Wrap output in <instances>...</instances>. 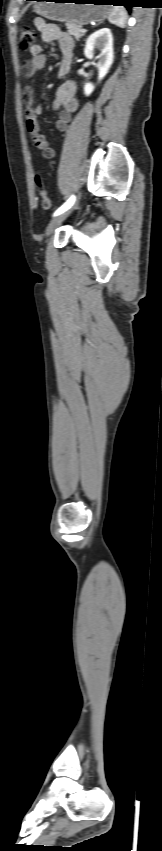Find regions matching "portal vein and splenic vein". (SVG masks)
<instances>
[{
  "instance_id": "portal-vein-and-splenic-vein-1",
  "label": "portal vein and splenic vein",
  "mask_w": 162,
  "mask_h": 851,
  "mask_svg": "<svg viewBox=\"0 0 162 851\" xmlns=\"http://www.w3.org/2000/svg\"><path fill=\"white\" fill-rule=\"evenodd\" d=\"M81 31H82V32H86L87 30H86V29H82Z\"/></svg>"
}]
</instances>
